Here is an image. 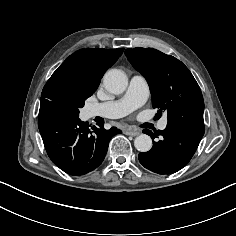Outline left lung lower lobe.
Wrapping results in <instances>:
<instances>
[{"instance_id":"left-lung-lower-lobe-1","label":"left lung lower lobe","mask_w":236,"mask_h":236,"mask_svg":"<svg viewBox=\"0 0 236 236\" xmlns=\"http://www.w3.org/2000/svg\"><path fill=\"white\" fill-rule=\"evenodd\" d=\"M205 127L203 115L185 114L168 120L164 130L152 133L143 130L151 136L153 147L150 151L139 153L140 163L147 169L158 174H172L191 160L194 155ZM159 137V141H154Z\"/></svg>"}]
</instances>
